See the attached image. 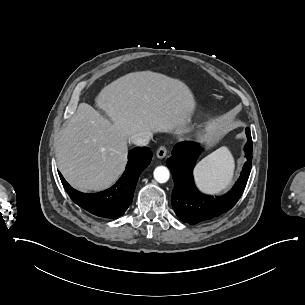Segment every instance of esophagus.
<instances>
[{"label": "esophagus", "instance_id": "esophagus-1", "mask_svg": "<svg viewBox=\"0 0 305 305\" xmlns=\"http://www.w3.org/2000/svg\"><path fill=\"white\" fill-rule=\"evenodd\" d=\"M166 154H167L166 146H161L156 152L157 157L160 159L164 158Z\"/></svg>", "mask_w": 305, "mask_h": 305}]
</instances>
